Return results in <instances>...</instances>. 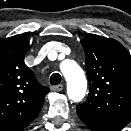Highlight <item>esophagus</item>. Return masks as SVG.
<instances>
[{
  "label": "esophagus",
  "mask_w": 131,
  "mask_h": 131,
  "mask_svg": "<svg viewBox=\"0 0 131 131\" xmlns=\"http://www.w3.org/2000/svg\"><path fill=\"white\" fill-rule=\"evenodd\" d=\"M62 89H63V85H56L51 87V90L55 92H60L62 91Z\"/></svg>",
  "instance_id": "esophagus-1"
}]
</instances>
